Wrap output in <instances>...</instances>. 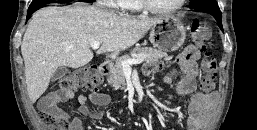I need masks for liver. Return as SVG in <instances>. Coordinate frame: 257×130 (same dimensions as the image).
I'll list each match as a JSON object with an SVG mask.
<instances>
[{"label": "liver", "mask_w": 257, "mask_h": 130, "mask_svg": "<svg viewBox=\"0 0 257 130\" xmlns=\"http://www.w3.org/2000/svg\"><path fill=\"white\" fill-rule=\"evenodd\" d=\"M159 18L131 19L95 7H45L30 20L21 44L27 92L32 103L47 90L61 66L79 68L97 54L126 50L142 39Z\"/></svg>", "instance_id": "liver-1"}]
</instances>
